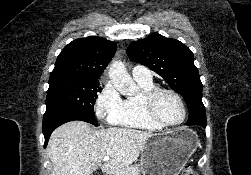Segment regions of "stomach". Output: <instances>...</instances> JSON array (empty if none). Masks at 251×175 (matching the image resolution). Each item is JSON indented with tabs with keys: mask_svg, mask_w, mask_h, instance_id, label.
Wrapping results in <instances>:
<instances>
[{
	"mask_svg": "<svg viewBox=\"0 0 251 175\" xmlns=\"http://www.w3.org/2000/svg\"><path fill=\"white\" fill-rule=\"evenodd\" d=\"M200 143L190 127H176L169 135L153 133L144 143L139 165L143 175H178Z\"/></svg>",
	"mask_w": 251,
	"mask_h": 175,
	"instance_id": "stomach-1",
	"label": "stomach"
}]
</instances>
